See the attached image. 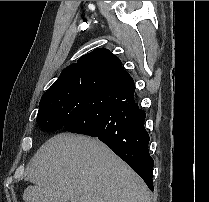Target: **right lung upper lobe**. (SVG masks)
<instances>
[{
    "mask_svg": "<svg viewBox=\"0 0 209 202\" xmlns=\"http://www.w3.org/2000/svg\"><path fill=\"white\" fill-rule=\"evenodd\" d=\"M120 68L122 66L118 57L113 55L108 49L99 48L80 57L76 64L66 67L59 78H66L77 74H88L93 78Z\"/></svg>",
    "mask_w": 209,
    "mask_h": 202,
    "instance_id": "right-lung-upper-lobe-1",
    "label": "right lung upper lobe"
}]
</instances>
